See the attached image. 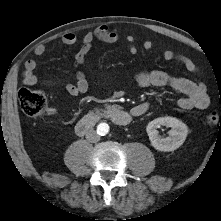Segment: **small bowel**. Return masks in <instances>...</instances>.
<instances>
[{"instance_id": "1", "label": "small bowel", "mask_w": 221, "mask_h": 221, "mask_svg": "<svg viewBox=\"0 0 221 221\" xmlns=\"http://www.w3.org/2000/svg\"><path fill=\"white\" fill-rule=\"evenodd\" d=\"M121 36L110 30L107 26L102 25L95 30L86 33L81 38L80 48L74 56L73 64L76 70L75 82H64L65 90L72 96H79L85 94L89 89L88 76L83 70L86 65V57L93 47L96 41L104 43H116L120 40ZM78 41V37L72 33L67 32L61 36V42L64 45H74ZM128 53L134 56L138 53V47L133 37H127ZM142 47L146 51H152L157 46L152 41H144ZM46 52L44 45H38L35 48L36 56H43ZM164 59L168 61H177L184 68L193 74L199 73V68L196 63L189 57L177 53L171 49H165L163 51ZM37 68V61L35 59H29L25 62L23 71V83L27 86H33L38 83V78L35 74ZM102 80L110 79L109 75L101 77ZM135 82L139 87H168L173 91L182 94V97L178 99V106L183 110L191 109H206L210 104V97L207 93L206 87L203 83L192 81L185 77L171 76L163 71H147L141 72L135 76ZM47 86H55L53 81H46L44 83ZM136 107V106H135ZM134 107V108H135ZM132 109L134 112L135 109Z\"/></svg>"}]
</instances>
